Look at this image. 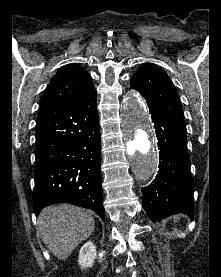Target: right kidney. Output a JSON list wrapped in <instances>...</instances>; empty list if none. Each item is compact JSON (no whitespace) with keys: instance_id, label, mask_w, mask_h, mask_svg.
Segmentation results:
<instances>
[{"instance_id":"obj_1","label":"right kidney","mask_w":221,"mask_h":277,"mask_svg":"<svg viewBox=\"0 0 221 277\" xmlns=\"http://www.w3.org/2000/svg\"><path fill=\"white\" fill-rule=\"evenodd\" d=\"M96 256V246L91 241H88L80 249L78 263L81 268L91 267Z\"/></svg>"}]
</instances>
